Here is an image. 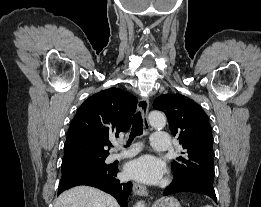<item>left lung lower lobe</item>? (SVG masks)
<instances>
[{
	"label": "left lung lower lobe",
	"instance_id": "obj_1",
	"mask_svg": "<svg viewBox=\"0 0 261 207\" xmlns=\"http://www.w3.org/2000/svg\"><path fill=\"white\" fill-rule=\"evenodd\" d=\"M185 192L200 193L207 195L217 203L213 183L206 179L186 177L183 175L176 174L172 183L165 189L163 196Z\"/></svg>",
	"mask_w": 261,
	"mask_h": 207
}]
</instances>
